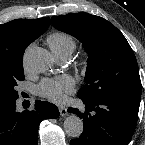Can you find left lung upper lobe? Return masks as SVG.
<instances>
[{"label":"left lung upper lobe","instance_id":"5c2ea615","mask_svg":"<svg viewBox=\"0 0 145 145\" xmlns=\"http://www.w3.org/2000/svg\"><path fill=\"white\" fill-rule=\"evenodd\" d=\"M52 24L80 40L88 53L86 85L77 96L94 101L119 94H141L134 52L113 24L88 13L52 17Z\"/></svg>","mask_w":145,"mask_h":145}]
</instances>
